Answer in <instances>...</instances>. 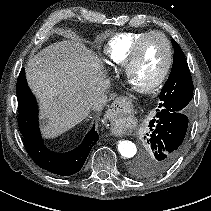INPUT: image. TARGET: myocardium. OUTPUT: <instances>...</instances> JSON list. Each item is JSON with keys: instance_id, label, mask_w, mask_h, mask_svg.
Masks as SVG:
<instances>
[{"instance_id": "1", "label": "myocardium", "mask_w": 211, "mask_h": 211, "mask_svg": "<svg viewBox=\"0 0 211 211\" xmlns=\"http://www.w3.org/2000/svg\"><path fill=\"white\" fill-rule=\"evenodd\" d=\"M152 36H159L164 40L166 47H167V61H166V64H165L163 70L161 71L160 75L152 84H150L149 86H146V87H135L131 84V81H130L131 72H132L133 67L135 66V64L138 61L139 54H140V51H141V48H142L144 42ZM172 63H173V48H172L169 38L164 33L160 32V31H150V32H147L146 34H144L142 37H140L137 40V42L134 44L131 54L124 65V75H125L126 81L137 92L142 93V94H151V93L157 91L163 85V83L165 82V80L167 79V77L170 73Z\"/></svg>"}]
</instances>
